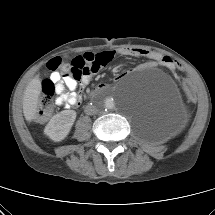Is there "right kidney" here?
Here are the masks:
<instances>
[{
	"label": "right kidney",
	"mask_w": 215,
	"mask_h": 215,
	"mask_svg": "<svg viewBox=\"0 0 215 215\" xmlns=\"http://www.w3.org/2000/svg\"><path fill=\"white\" fill-rule=\"evenodd\" d=\"M75 119L76 112L74 110H63L50 119L44 133L55 142L62 141L69 134Z\"/></svg>",
	"instance_id": "right-kidney-1"
}]
</instances>
